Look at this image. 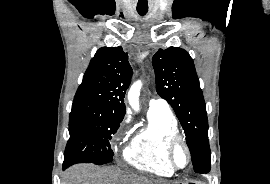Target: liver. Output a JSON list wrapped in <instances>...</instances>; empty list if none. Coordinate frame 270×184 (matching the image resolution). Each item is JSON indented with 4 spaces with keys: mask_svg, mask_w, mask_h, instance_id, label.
I'll list each match as a JSON object with an SVG mask.
<instances>
[{
    "mask_svg": "<svg viewBox=\"0 0 270 184\" xmlns=\"http://www.w3.org/2000/svg\"><path fill=\"white\" fill-rule=\"evenodd\" d=\"M62 184H169L137 174L126 173L115 167L88 164L73 165L64 173Z\"/></svg>",
    "mask_w": 270,
    "mask_h": 184,
    "instance_id": "1",
    "label": "liver"
}]
</instances>
